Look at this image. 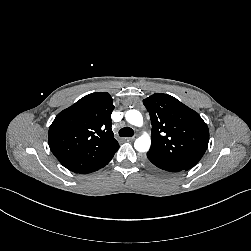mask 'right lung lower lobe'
I'll return each mask as SVG.
<instances>
[{"mask_svg": "<svg viewBox=\"0 0 251 251\" xmlns=\"http://www.w3.org/2000/svg\"><path fill=\"white\" fill-rule=\"evenodd\" d=\"M108 163H109V162H108ZM108 163H107V164H108ZM107 164H106V165H107ZM100 169H101V168H100ZM97 170H99V169H97ZM94 171H96V170H94ZM94 171H91V172H94ZM88 173H90V172H88ZM85 174H86V173H85Z\"/></svg>", "mask_w": 251, "mask_h": 251, "instance_id": "right-lung-lower-lobe-1", "label": "right lung lower lobe"}]
</instances>
